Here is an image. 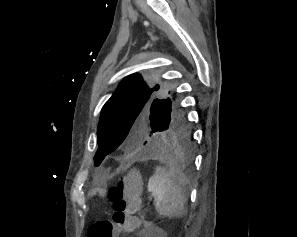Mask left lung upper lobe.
<instances>
[{
    "label": "left lung upper lobe",
    "instance_id": "left-lung-upper-lobe-1",
    "mask_svg": "<svg viewBox=\"0 0 297 237\" xmlns=\"http://www.w3.org/2000/svg\"><path fill=\"white\" fill-rule=\"evenodd\" d=\"M176 99L164 82L147 83L139 74L124 78L101 110L95 166L111 153L124 160L144 156L167 117L181 109Z\"/></svg>",
    "mask_w": 297,
    "mask_h": 237
}]
</instances>
